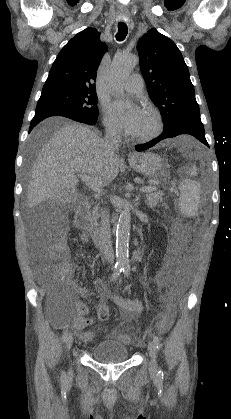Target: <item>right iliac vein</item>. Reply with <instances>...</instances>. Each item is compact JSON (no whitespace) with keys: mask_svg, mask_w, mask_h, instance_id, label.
<instances>
[{"mask_svg":"<svg viewBox=\"0 0 231 419\" xmlns=\"http://www.w3.org/2000/svg\"><path fill=\"white\" fill-rule=\"evenodd\" d=\"M73 340H74L73 335H72V334H69V335L67 336V340H66V349H67L68 351H70V349H71V347H72Z\"/></svg>","mask_w":231,"mask_h":419,"instance_id":"right-iliac-vein-1","label":"right iliac vein"}]
</instances>
